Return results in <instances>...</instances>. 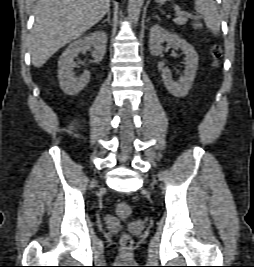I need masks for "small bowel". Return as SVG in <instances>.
Returning a JSON list of instances; mask_svg holds the SVG:
<instances>
[{"label": "small bowel", "instance_id": "c3829d8e", "mask_svg": "<svg viewBox=\"0 0 254 267\" xmlns=\"http://www.w3.org/2000/svg\"><path fill=\"white\" fill-rule=\"evenodd\" d=\"M107 220H108V222H110V223H113V222L115 221L114 217L111 216V215L107 216Z\"/></svg>", "mask_w": 254, "mask_h": 267}]
</instances>
